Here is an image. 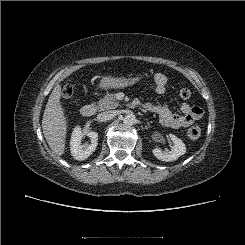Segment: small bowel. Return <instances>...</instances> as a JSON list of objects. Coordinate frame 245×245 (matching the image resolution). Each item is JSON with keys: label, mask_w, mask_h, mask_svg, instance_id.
<instances>
[{"label": "small bowel", "mask_w": 245, "mask_h": 245, "mask_svg": "<svg viewBox=\"0 0 245 245\" xmlns=\"http://www.w3.org/2000/svg\"><path fill=\"white\" fill-rule=\"evenodd\" d=\"M168 78L163 73H156L153 77V85L156 93L163 94L166 91ZM141 106L159 116L160 122L167 128H185L199 121L203 116V110L199 106L183 103L180 106L181 114H173L167 103L143 102Z\"/></svg>", "instance_id": "small-bowel-1"}]
</instances>
